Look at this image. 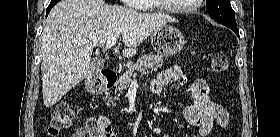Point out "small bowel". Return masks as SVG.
<instances>
[{"label":"small bowel","mask_w":280,"mask_h":137,"mask_svg":"<svg viewBox=\"0 0 280 137\" xmlns=\"http://www.w3.org/2000/svg\"><path fill=\"white\" fill-rule=\"evenodd\" d=\"M171 83H178L186 87L191 102L184 108V117L191 125L198 129L201 137H207L211 133L214 122L223 128L229 125L231 121L229 112L210 98L209 86L204 78L197 77L190 79L180 66L174 65L159 74L157 79L152 83V91L155 94H160L164 87ZM97 121L108 128V137H114L108 117L100 116L97 118ZM72 137L100 136L92 134L90 126L87 124L77 129Z\"/></svg>","instance_id":"c3829d8e"}]
</instances>
